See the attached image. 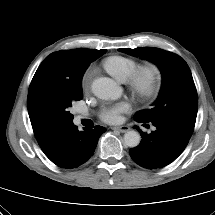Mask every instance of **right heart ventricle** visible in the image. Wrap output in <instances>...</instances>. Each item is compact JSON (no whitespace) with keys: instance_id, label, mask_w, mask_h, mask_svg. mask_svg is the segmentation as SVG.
Returning <instances> with one entry per match:
<instances>
[{"instance_id":"obj_1","label":"right heart ventricle","mask_w":215,"mask_h":215,"mask_svg":"<svg viewBox=\"0 0 215 215\" xmlns=\"http://www.w3.org/2000/svg\"><path fill=\"white\" fill-rule=\"evenodd\" d=\"M137 66L138 62L136 59L123 55H112L103 61L104 69L121 82L126 81Z\"/></svg>"}]
</instances>
